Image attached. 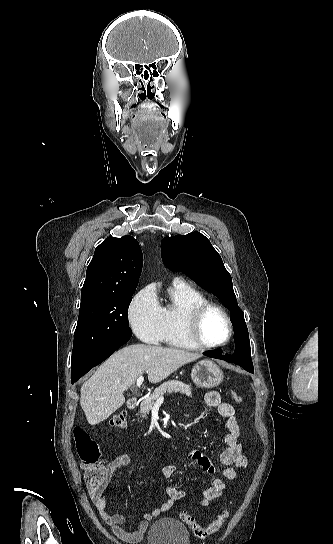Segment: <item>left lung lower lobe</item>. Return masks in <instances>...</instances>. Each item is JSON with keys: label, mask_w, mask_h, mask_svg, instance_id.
<instances>
[{"label": "left lung lower lobe", "mask_w": 333, "mask_h": 544, "mask_svg": "<svg viewBox=\"0 0 333 544\" xmlns=\"http://www.w3.org/2000/svg\"><path fill=\"white\" fill-rule=\"evenodd\" d=\"M236 340L238 341L237 337H236ZM204 355H206L208 357L222 359V360H225L227 362L237 364V365L243 367L246 371H248L250 373H253V364L246 365V364L240 363V362L235 360L234 355H232V356L222 355V350L206 351V352H204Z\"/></svg>", "instance_id": "left-lung-lower-lobe-1"}]
</instances>
